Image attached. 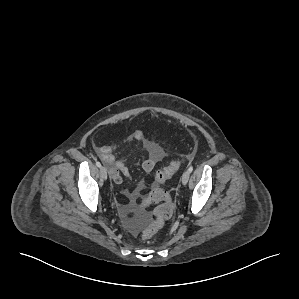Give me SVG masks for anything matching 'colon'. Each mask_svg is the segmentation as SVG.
<instances>
[{"label":"colon","mask_w":299,"mask_h":299,"mask_svg":"<svg viewBox=\"0 0 299 299\" xmlns=\"http://www.w3.org/2000/svg\"><path fill=\"white\" fill-rule=\"evenodd\" d=\"M189 155H183L179 159L172 161L167 167L159 170L155 173L152 184L153 189L143 199L141 206L147 207L152 203H159L154 210L155 219L153 222L141 232L143 238H149L153 236L168 220L174 210V205L171 197L167 191L159 187L160 184L171 178L183 165V163L189 160Z\"/></svg>","instance_id":"5ec220e1"}]
</instances>
